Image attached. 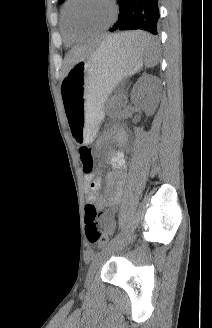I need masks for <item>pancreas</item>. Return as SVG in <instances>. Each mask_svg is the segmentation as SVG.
<instances>
[{"instance_id":"pancreas-1","label":"pancreas","mask_w":212,"mask_h":328,"mask_svg":"<svg viewBox=\"0 0 212 328\" xmlns=\"http://www.w3.org/2000/svg\"><path fill=\"white\" fill-rule=\"evenodd\" d=\"M123 97L121 95L113 96L108 101V108L112 110L114 113H118L123 106Z\"/></svg>"}]
</instances>
